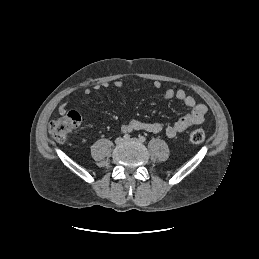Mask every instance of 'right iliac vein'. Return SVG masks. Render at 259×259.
Returning a JSON list of instances; mask_svg holds the SVG:
<instances>
[{
    "label": "right iliac vein",
    "instance_id": "right-iliac-vein-1",
    "mask_svg": "<svg viewBox=\"0 0 259 259\" xmlns=\"http://www.w3.org/2000/svg\"><path fill=\"white\" fill-rule=\"evenodd\" d=\"M123 142H124V139L121 138V137H118V138L115 140V143H116L117 145H120V144H122Z\"/></svg>",
    "mask_w": 259,
    "mask_h": 259
}]
</instances>
